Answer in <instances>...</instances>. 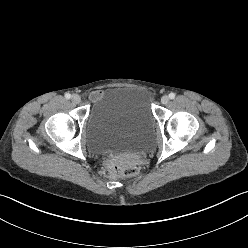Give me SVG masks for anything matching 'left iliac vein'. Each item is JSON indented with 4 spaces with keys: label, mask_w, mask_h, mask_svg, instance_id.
Segmentation results:
<instances>
[{
    "label": "left iliac vein",
    "mask_w": 248,
    "mask_h": 248,
    "mask_svg": "<svg viewBox=\"0 0 248 248\" xmlns=\"http://www.w3.org/2000/svg\"><path fill=\"white\" fill-rule=\"evenodd\" d=\"M162 104H167L169 102V97L168 95H163L161 98Z\"/></svg>",
    "instance_id": "obj_1"
}]
</instances>
